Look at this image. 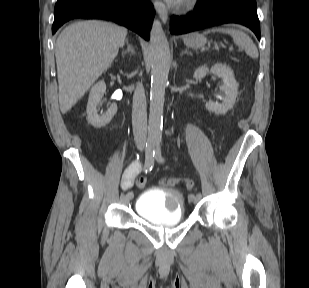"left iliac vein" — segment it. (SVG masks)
Masks as SVG:
<instances>
[{"mask_svg": "<svg viewBox=\"0 0 309 288\" xmlns=\"http://www.w3.org/2000/svg\"><path fill=\"white\" fill-rule=\"evenodd\" d=\"M189 201L190 202H194V203H196V202H198L199 201V198H197V197H193V196H189Z\"/></svg>", "mask_w": 309, "mask_h": 288, "instance_id": "left-iliac-vein-1", "label": "left iliac vein"}]
</instances>
